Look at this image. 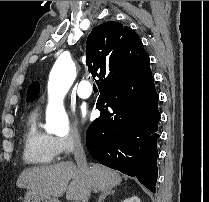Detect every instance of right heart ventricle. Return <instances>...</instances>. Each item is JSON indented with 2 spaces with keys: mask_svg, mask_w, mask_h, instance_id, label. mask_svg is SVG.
Masks as SVG:
<instances>
[{
  "mask_svg": "<svg viewBox=\"0 0 209 202\" xmlns=\"http://www.w3.org/2000/svg\"><path fill=\"white\" fill-rule=\"evenodd\" d=\"M23 143V159L28 164L46 165L58 160L54 137L40 129L37 116L27 123Z\"/></svg>",
  "mask_w": 209,
  "mask_h": 202,
  "instance_id": "right-heart-ventricle-1",
  "label": "right heart ventricle"
}]
</instances>
